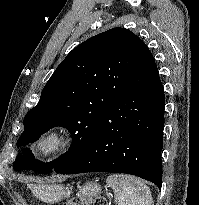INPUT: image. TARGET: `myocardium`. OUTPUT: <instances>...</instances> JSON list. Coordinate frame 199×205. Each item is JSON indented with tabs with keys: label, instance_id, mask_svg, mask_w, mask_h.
Listing matches in <instances>:
<instances>
[{
	"label": "myocardium",
	"instance_id": "1",
	"mask_svg": "<svg viewBox=\"0 0 199 205\" xmlns=\"http://www.w3.org/2000/svg\"><path fill=\"white\" fill-rule=\"evenodd\" d=\"M72 143L70 130L52 127L43 132L32 146V154L38 160H50L64 153Z\"/></svg>",
	"mask_w": 199,
	"mask_h": 205
}]
</instances>
